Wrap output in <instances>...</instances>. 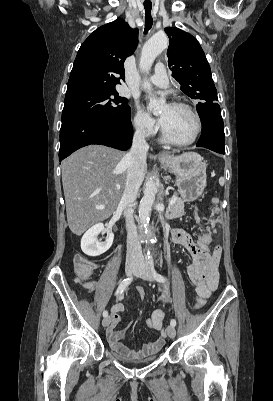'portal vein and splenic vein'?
<instances>
[{
	"label": "portal vein and splenic vein",
	"mask_w": 273,
	"mask_h": 401,
	"mask_svg": "<svg viewBox=\"0 0 273 401\" xmlns=\"http://www.w3.org/2000/svg\"><path fill=\"white\" fill-rule=\"evenodd\" d=\"M175 200H177L176 196H172L170 199V202H168V205L173 206ZM96 209H105V205H97Z\"/></svg>",
	"instance_id": "obj_1"
}]
</instances>
